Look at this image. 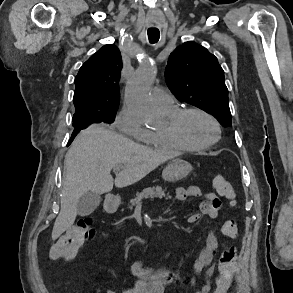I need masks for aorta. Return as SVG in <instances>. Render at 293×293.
I'll list each match as a JSON object with an SVG mask.
<instances>
[{
    "instance_id": "1",
    "label": "aorta",
    "mask_w": 293,
    "mask_h": 293,
    "mask_svg": "<svg viewBox=\"0 0 293 293\" xmlns=\"http://www.w3.org/2000/svg\"><path fill=\"white\" fill-rule=\"evenodd\" d=\"M155 76L154 64L149 59L143 60L125 90L128 108L144 124H153L156 121V114L149 99Z\"/></svg>"
}]
</instances>
